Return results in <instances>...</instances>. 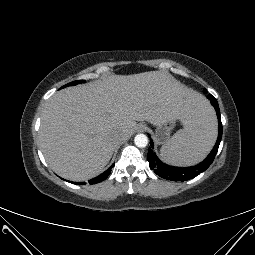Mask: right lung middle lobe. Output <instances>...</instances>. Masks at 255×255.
Returning <instances> with one entry per match:
<instances>
[{"label":"right lung middle lobe","instance_id":"1","mask_svg":"<svg viewBox=\"0 0 255 255\" xmlns=\"http://www.w3.org/2000/svg\"><path fill=\"white\" fill-rule=\"evenodd\" d=\"M83 82H85L84 80H78V81H73V82H71V83H68V84H66V85H64L63 87H61V88H64V87H67V86H69V85H76V84H78V83H83Z\"/></svg>","mask_w":255,"mask_h":255}]
</instances>
